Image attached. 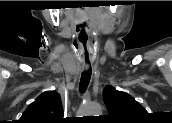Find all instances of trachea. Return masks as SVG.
<instances>
[{
  "label": "trachea",
  "instance_id": "1",
  "mask_svg": "<svg viewBox=\"0 0 172 123\" xmlns=\"http://www.w3.org/2000/svg\"><path fill=\"white\" fill-rule=\"evenodd\" d=\"M91 74H92L91 66L89 67V69L87 71H84L81 74V79H80V90H81V92H84L87 89V86H88L90 79H91Z\"/></svg>",
  "mask_w": 172,
  "mask_h": 123
}]
</instances>
